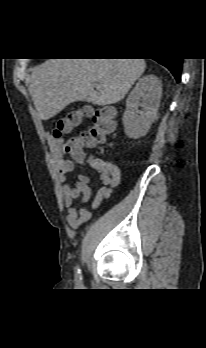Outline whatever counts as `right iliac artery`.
I'll return each mask as SVG.
<instances>
[{
    "label": "right iliac artery",
    "mask_w": 206,
    "mask_h": 348,
    "mask_svg": "<svg viewBox=\"0 0 206 348\" xmlns=\"http://www.w3.org/2000/svg\"><path fill=\"white\" fill-rule=\"evenodd\" d=\"M75 279L76 281L81 284L82 282V275H81V270L79 267H77L76 274H75Z\"/></svg>",
    "instance_id": "right-iliac-artery-1"
}]
</instances>
